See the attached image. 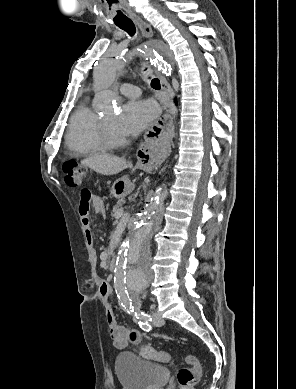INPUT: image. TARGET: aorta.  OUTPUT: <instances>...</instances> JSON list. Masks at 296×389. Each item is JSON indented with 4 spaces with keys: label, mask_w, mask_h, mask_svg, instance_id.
I'll list each match as a JSON object with an SVG mask.
<instances>
[{
    "label": "aorta",
    "mask_w": 296,
    "mask_h": 389,
    "mask_svg": "<svg viewBox=\"0 0 296 389\" xmlns=\"http://www.w3.org/2000/svg\"><path fill=\"white\" fill-rule=\"evenodd\" d=\"M148 53L149 55L140 49L134 56L137 61L147 60L149 65L157 64L163 72L170 73L169 66L163 61H158L156 54ZM124 66L125 62L120 54L109 53L101 58L95 67L96 102L101 108L111 107L115 103V96L110 87ZM165 194L162 188L156 190L118 250L114 282L120 294L126 299L146 289L151 282L153 270L150 245L163 219Z\"/></svg>",
    "instance_id": "1"
}]
</instances>
